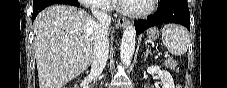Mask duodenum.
<instances>
[{
    "label": "duodenum",
    "instance_id": "410a0bca",
    "mask_svg": "<svg viewBox=\"0 0 227 88\" xmlns=\"http://www.w3.org/2000/svg\"><path fill=\"white\" fill-rule=\"evenodd\" d=\"M81 88H86V83L84 81L81 82Z\"/></svg>",
    "mask_w": 227,
    "mask_h": 88
}]
</instances>
